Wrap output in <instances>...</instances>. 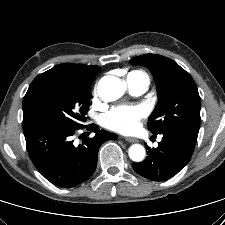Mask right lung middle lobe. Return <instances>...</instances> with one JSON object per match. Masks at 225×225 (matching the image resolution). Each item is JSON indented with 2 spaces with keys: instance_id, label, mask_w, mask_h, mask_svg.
<instances>
[{
  "instance_id": "obj_1",
  "label": "right lung middle lobe",
  "mask_w": 225,
  "mask_h": 225,
  "mask_svg": "<svg viewBox=\"0 0 225 225\" xmlns=\"http://www.w3.org/2000/svg\"><path fill=\"white\" fill-rule=\"evenodd\" d=\"M94 75L56 68L38 75L23 99V120L44 118L82 128Z\"/></svg>"
}]
</instances>
